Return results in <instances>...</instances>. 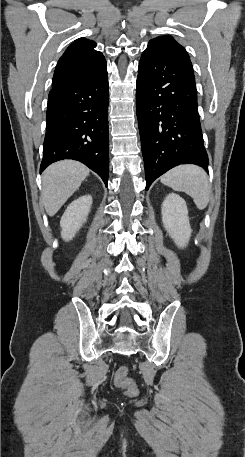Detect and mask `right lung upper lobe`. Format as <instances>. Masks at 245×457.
<instances>
[{
  "label": "right lung upper lobe",
  "instance_id": "cb5924a9",
  "mask_svg": "<svg viewBox=\"0 0 245 457\" xmlns=\"http://www.w3.org/2000/svg\"><path fill=\"white\" fill-rule=\"evenodd\" d=\"M95 47L94 41L84 38L72 43L58 61L53 87L106 69V60L101 52L94 50Z\"/></svg>",
  "mask_w": 245,
  "mask_h": 457
}]
</instances>
